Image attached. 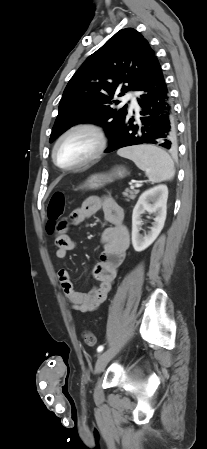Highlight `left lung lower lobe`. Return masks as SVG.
<instances>
[{
	"label": "left lung lower lobe",
	"instance_id": "obj_1",
	"mask_svg": "<svg viewBox=\"0 0 207 449\" xmlns=\"http://www.w3.org/2000/svg\"><path fill=\"white\" fill-rule=\"evenodd\" d=\"M137 99L142 111L136 122L127 116L120 132L111 141L107 153L138 144H155L175 150L177 146L175 112L171 96L159 62L152 66L146 80L138 90Z\"/></svg>",
	"mask_w": 207,
	"mask_h": 449
}]
</instances>
